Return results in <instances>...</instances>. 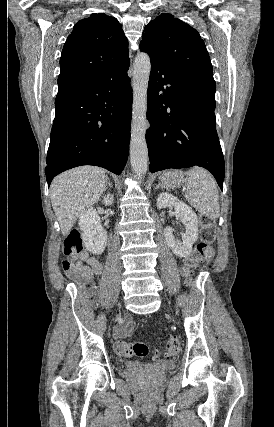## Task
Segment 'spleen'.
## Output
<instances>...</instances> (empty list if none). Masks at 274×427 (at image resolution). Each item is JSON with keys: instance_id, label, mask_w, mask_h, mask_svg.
Segmentation results:
<instances>
[{"instance_id": "obj_1", "label": "spleen", "mask_w": 274, "mask_h": 427, "mask_svg": "<svg viewBox=\"0 0 274 427\" xmlns=\"http://www.w3.org/2000/svg\"><path fill=\"white\" fill-rule=\"evenodd\" d=\"M185 198L197 212L219 217V198L216 182L206 170L194 166L186 172Z\"/></svg>"}]
</instances>
